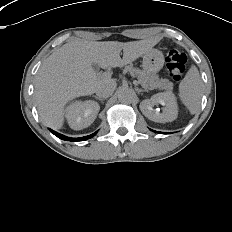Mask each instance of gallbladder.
<instances>
[{"mask_svg":"<svg viewBox=\"0 0 232 232\" xmlns=\"http://www.w3.org/2000/svg\"><path fill=\"white\" fill-rule=\"evenodd\" d=\"M92 67L95 71H98V69H99V66L95 63L92 64Z\"/></svg>","mask_w":232,"mask_h":232,"instance_id":"obj_1","label":"gallbladder"}]
</instances>
